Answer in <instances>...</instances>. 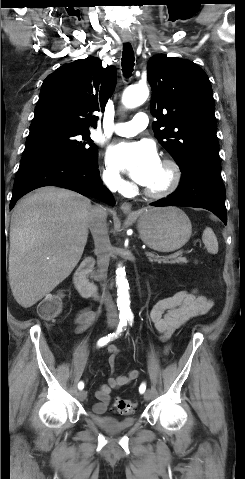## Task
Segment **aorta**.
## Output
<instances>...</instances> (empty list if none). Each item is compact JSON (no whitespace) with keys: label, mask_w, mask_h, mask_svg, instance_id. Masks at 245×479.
<instances>
[{"label":"aorta","mask_w":245,"mask_h":479,"mask_svg":"<svg viewBox=\"0 0 245 479\" xmlns=\"http://www.w3.org/2000/svg\"><path fill=\"white\" fill-rule=\"evenodd\" d=\"M149 96V90L146 85H135L128 87L122 96V103L127 108H135L143 104ZM135 166L130 165V168ZM116 285H117V305L122 315H130V300H129V284L126 279L125 269L119 267L116 270Z\"/></svg>","instance_id":"762f6f07"}]
</instances>
